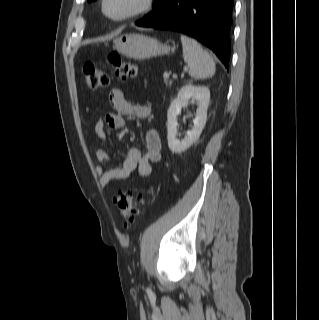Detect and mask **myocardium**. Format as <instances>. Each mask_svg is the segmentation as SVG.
Listing matches in <instances>:
<instances>
[{
	"label": "myocardium",
	"instance_id": "obj_1",
	"mask_svg": "<svg viewBox=\"0 0 319 320\" xmlns=\"http://www.w3.org/2000/svg\"><path fill=\"white\" fill-rule=\"evenodd\" d=\"M107 2L108 0L101 1V11L107 19L115 23H123L129 20L135 19L137 17L146 15L150 13L155 8V5H156V0H138L136 6L132 10H130L129 12H127L122 16L115 17L107 11L106 9Z\"/></svg>",
	"mask_w": 319,
	"mask_h": 320
}]
</instances>
